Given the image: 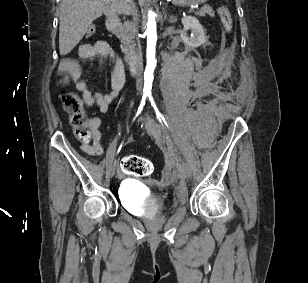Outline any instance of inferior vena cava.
Wrapping results in <instances>:
<instances>
[{
    "mask_svg": "<svg viewBox=\"0 0 308 283\" xmlns=\"http://www.w3.org/2000/svg\"><path fill=\"white\" fill-rule=\"evenodd\" d=\"M126 13L129 14V15H135L136 13V9H135V6L133 4V2L130 0V2L127 4L126 6ZM130 21V20H129ZM131 23V22H130ZM132 29V28H131ZM132 33V32H131ZM137 66L139 68V72L136 76V84H137V87L140 86L141 82H142V76H141V58H140V54H138V63H137Z\"/></svg>",
    "mask_w": 308,
    "mask_h": 283,
    "instance_id": "1",
    "label": "inferior vena cava"
}]
</instances>
